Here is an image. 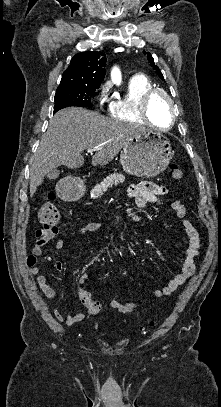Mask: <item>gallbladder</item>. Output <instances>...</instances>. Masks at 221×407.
Listing matches in <instances>:
<instances>
[{
    "mask_svg": "<svg viewBox=\"0 0 221 407\" xmlns=\"http://www.w3.org/2000/svg\"><path fill=\"white\" fill-rule=\"evenodd\" d=\"M59 174H60V171H59V170L53 169L52 171H50V172L47 174V178L50 179V180L56 179V178L59 176Z\"/></svg>",
    "mask_w": 221,
    "mask_h": 407,
    "instance_id": "1",
    "label": "gallbladder"
}]
</instances>
